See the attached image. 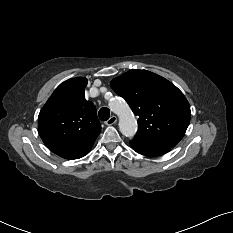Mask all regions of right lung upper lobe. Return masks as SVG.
Wrapping results in <instances>:
<instances>
[{"mask_svg": "<svg viewBox=\"0 0 233 233\" xmlns=\"http://www.w3.org/2000/svg\"><path fill=\"white\" fill-rule=\"evenodd\" d=\"M87 79L60 84L38 116V131L50 149H76L94 143L101 132L94 104L85 99Z\"/></svg>", "mask_w": 233, "mask_h": 233, "instance_id": "obj_1", "label": "right lung upper lobe"}]
</instances>
